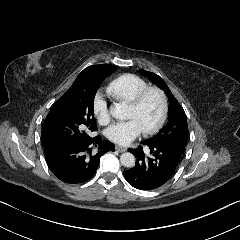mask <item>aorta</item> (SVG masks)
Returning a JSON list of instances; mask_svg holds the SVG:
<instances>
[{"label":"aorta","instance_id":"obj_1","mask_svg":"<svg viewBox=\"0 0 240 240\" xmlns=\"http://www.w3.org/2000/svg\"><path fill=\"white\" fill-rule=\"evenodd\" d=\"M121 109L119 106H114L111 108V115L120 119ZM120 162L124 167H134L135 165V157L132 153L126 152L120 156Z\"/></svg>","mask_w":240,"mask_h":240}]
</instances>
